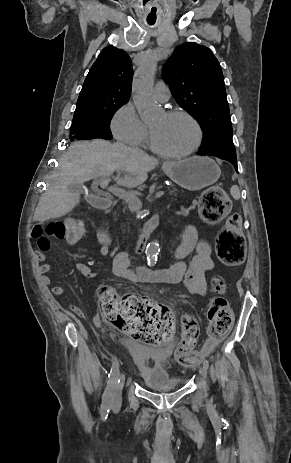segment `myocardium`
<instances>
[{
	"mask_svg": "<svg viewBox=\"0 0 291 463\" xmlns=\"http://www.w3.org/2000/svg\"><path fill=\"white\" fill-rule=\"evenodd\" d=\"M165 115L168 117H177V116L184 117L188 121H190L195 128V132H196L195 141L193 145L189 147L187 150L176 152V153L165 152L156 147L154 143V139H153V133L151 129H149V145L152 151L158 154L159 156L163 158H167V159L184 158V157H187L193 154L195 151H197L203 140V131H202V127L199 121L187 110L179 109V108L167 110L165 112Z\"/></svg>",
	"mask_w": 291,
	"mask_h": 463,
	"instance_id": "1",
	"label": "myocardium"
}]
</instances>
